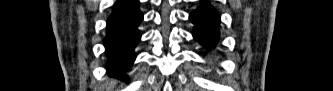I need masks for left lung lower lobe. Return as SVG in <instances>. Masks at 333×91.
<instances>
[{"label": "left lung lower lobe", "mask_w": 333, "mask_h": 91, "mask_svg": "<svg viewBox=\"0 0 333 91\" xmlns=\"http://www.w3.org/2000/svg\"><path fill=\"white\" fill-rule=\"evenodd\" d=\"M190 20L195 25L193 37L203 46L211 49L219 40L220 15L207 1H202L200 6L193 11Z\"/></svg>", "instance_id": "obj_1"}]
</instances>
